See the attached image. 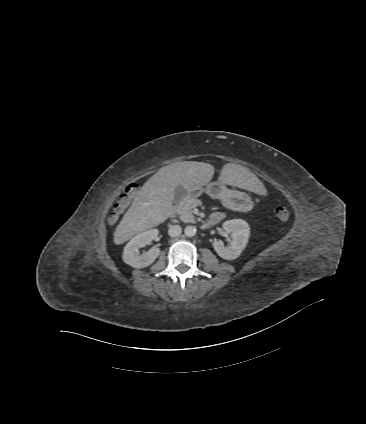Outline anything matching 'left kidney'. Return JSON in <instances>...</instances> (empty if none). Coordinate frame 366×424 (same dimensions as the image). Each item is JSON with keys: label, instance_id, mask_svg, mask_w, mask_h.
<instances>
[{"label": "left kidney", "instance_id": "left-kidney-1", "mask_svg": "<svg viewBox=\"0 0 366 424\" xmlns=\"http://www.w3.org/2000/svg\"><path fill=\"white\" fill-rule=\"evenodd\" d=\"M222 226L231 235L232 242L228 247H225L222 240L215 239L213 248L221 258L234 260L240 256L247 245L250 233L249 225L242 219H232L225 221Z\"/></svg>", "mask_w": 366, "mask_h": 424}]
</instances>
